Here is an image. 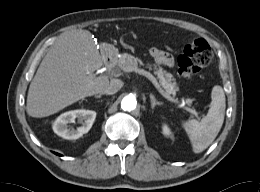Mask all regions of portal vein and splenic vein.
<instances>
[{"mask_svg": "<svg viewBox=\"0 0 260 192\" xmlns=\"http://www.w3.org/2000/svg\"><path fill=\"white\" fill-rule=\"evenodd\" d=\"M125 72H136L140 75H143L145 77H147L153 84L154 86L158 89V91L161 93V95L163 97H165L168 101L172 102V103H176L178 104L179 102L172 98L169 94H167L160 86V84L158 83L157 79L148 71L144 70V69H140L137 66H127L123 69ZM180 108H183L182 105L179 104ZM184 109H186L187 111H191L190 109L184 107Z\"/></svg>", "mask_w": 260, "mask_h": 192, "instance_id": "18ae733b", "label": "portal vein and splenic vein"}]
</instances>
